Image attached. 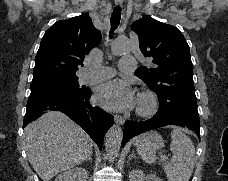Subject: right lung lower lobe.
Masks as SVG:
<instances>
[{
	"label": "right lung lower lobe",
	"mask_w": 228,
	"mask_h": 181,
	"mask_svg": "<svg viewBox=\"0 0 228 181\" xmlns=\"http://www.w3.org/2000/svg\"><path fill=\"white\" fill-rule=\"evenodd\" d=\"M73 94L56 88L31 91L27 103L24 125L35 120L45 111H60L81 126L102 149L105 133L113 125V116L98 106L89 103L91 90Z\"/></svg>",
	"instance_id": "1"
}]
</instances>
